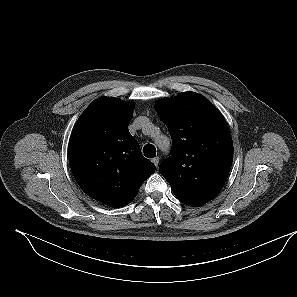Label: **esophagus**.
Wrapping results in <instances>:
<instances>
[{
    "label": "esophagus",
    "mask_w": 297,
    "mask_h": 297,
    "mask_svg": "<svg viewBox=\"0 0 297 297\" xmlns=\"http://www.w3.org/2000/svg\"><path fill=\"white\" fill-rule=\"evenodd\" d=\"M152 162L155 164L156 167H158L159 164V157H155L152 159Z\"/></svg>",
    "instance_id": "1"
}]
</instances>
